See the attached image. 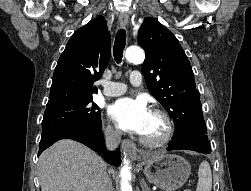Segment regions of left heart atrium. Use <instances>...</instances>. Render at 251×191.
<instances>
[{
	"label": "left heart atrium",
	"instance_id": "obj_1",
	"mask_svg": "<svg viewBox=\"0 0 251 191\" xmlns=\"http://www.w3.org/2000/svg\"><path fill=\"white\" fill-rule=\"evenodd\" d=\"M108 115L120 130L142 134L151 112L142 100L121 98L108 107Z\"/></svg>",
	"mask_w": 251,
	"mask_h": 191
}]
</instances>
